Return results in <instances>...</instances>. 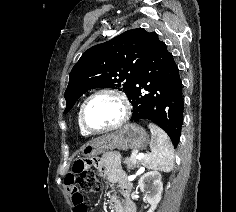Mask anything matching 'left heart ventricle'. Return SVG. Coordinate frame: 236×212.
Wrapping results in <instances>:
<instances>
[{"mask_svg":"<svg viewBox=\"0 0 236 212\" xmlns=\"http://www.w3.org/2000/svg\"><path fill=\"white\" fill-rule=\"evenodd\" d=\"M121 114L122 107L116 98L110 95H101L88 103L84 117L90 128L101 129L117 122Z\"/></svg>","mask_w":236,"mask_h":212,"instance_id":"1","label":"left heart ventricle"}]
</instances>
